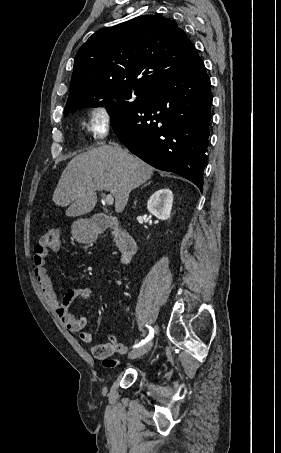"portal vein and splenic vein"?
<instances>
[{
    "label": "portal vein and splenic vein",
    "instance_id": "1",
    "mask_svg": "<svg viewBox=\"0 0 281 453\" xmlns=\"http://www.w3.org/2000/svg\"><path fill=\"white\" fill-rule=\"evenodd\" d=\"M102 198H103L104 204H113V202H114V198H113L112 194H104V192H102Z\"/></svg>",
    "mask_w": 281,
    "mask_h": 453
}]
</instances>
